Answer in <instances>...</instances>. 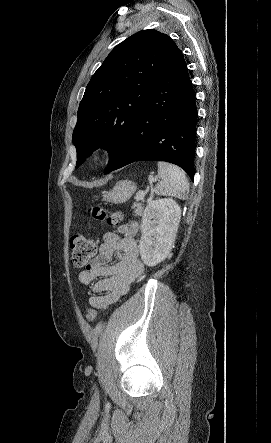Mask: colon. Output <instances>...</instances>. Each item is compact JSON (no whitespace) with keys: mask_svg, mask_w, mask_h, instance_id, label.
<instances>
[{"mask_svg":"<svg viewBox=\"0 0 271 443\" xmlns=\"http://www.w3.org/2000/svg\"><path fill=\"white\" fill-rule=\"evenodd\" d=\"M89 215L95 220L106 221L108 224L124 230L126 227L123 223V216L119 212L108 213L100 206H91L88 208ZM71 247V263L75 267H83L88 265L89 261L96 254V244L93 240L83 235H74L70 241ZM87 319L94 322L97 319V310L89 308L87 311Z\"/></svg>","mask_w":271,"mask_h":443,"instance_id":"colon-1","label":"colon"}]
</instances>
